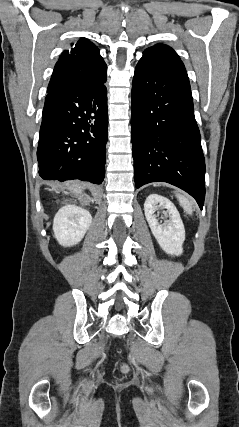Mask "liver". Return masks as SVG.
<instances>
[{
  "mask_svg": "<svg viewBox=\"0 0 239 427\" xmlns=\"http://www.w3.org/2000/svg\"><path fill=\"white\" fill-rule=\"evenodd\" d=\"M66 187L75 195H80L81 197H83L82 193H83V187L80 184V182L77 181H73L71 183H67Z\"/></svg>",
  "mask_w": 239,
  "mask_h": 427,
  "instance_id": "liver-1",
  "label": "liver"
}]
</instances>
